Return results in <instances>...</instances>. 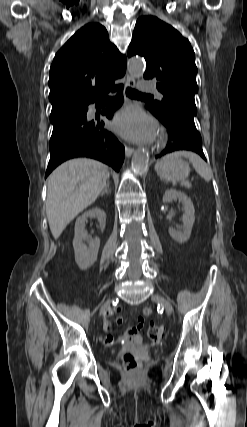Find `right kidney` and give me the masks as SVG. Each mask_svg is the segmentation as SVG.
Listing matches in <instances>:
<instances>
[{
    "mask_svg": "<svg viewBox=\"0 0 247 427\" xmlns=\"http://www.w3.org/2000/svg\"><path fill=\"white\" fill-rule=\"evenodd\" d=\"M88 218H96L99 222L101 230H104L106 224V214L100 208H92L76 220L73 247L75 261L82 270L89 268L95 263L100 246V239H90L87 231L85 230V223L87 222ZM83 240L88 241L89 247H86V245L83 243Z\"/></svg>",
    "mask_w": 247,
    "mask_h": 427,
    "instance_id": "obj_1",
    "label": "right kidney"
}]
</instances>
